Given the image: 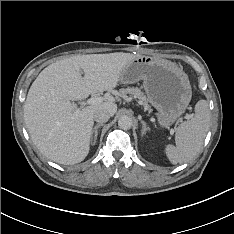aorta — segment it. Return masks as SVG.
I'll return each mask as SVG.
<instances>
[{
	"label": "aorta",
	"instance_id": "aorta-1",
	"mask_svg": "<svg viewBox=\"0 0 234 234\" xmlns=\"http://www.w3.org/2000/svg\"><path fill=\"white\" fill-rule=\"evenodd\" d=\"M132 125H133V120L128 115H122L118 119V126L121 129H124V130L130 129L132 127Z\"/></svg>",
	"mask_w": 234,
	"mask_h": 234
}]
</instances>
